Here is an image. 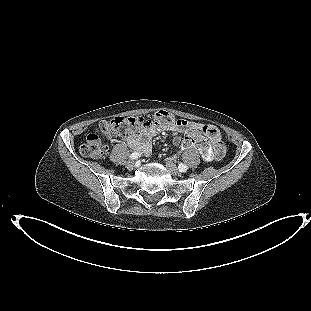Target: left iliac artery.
Listing matches in <instances>:
<instances>
[{
  "mask_svg": "<svg viewBox=\"0 0 311 311\" xmlns=\"http://www.w3.org/2000/svg\"><path fill=\"white\" fill-rule=\"evenodd\" d=\"M178 169L180 172H186L188 167L184 164H179Z\"/></svg>",
  "mask_w": 311,
  "mask_h": 311,
  "instance_id": "44dca946",
  "label": "left iliac artery"
}]
</instances>
